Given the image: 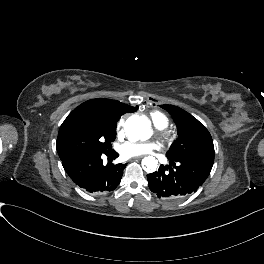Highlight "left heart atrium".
<instances>
[{
    "label": "left heart atrium",
    "instance_id": "39dd6f15",
    "mask_svg": "<svg viewBox=\"0 0 264 264\" xmlns=\"http://www.w3.org/2000/svg\"><path fill=\"white\" fill-rule=\"evenodd\" d=\"M123 155H133L135 154L134 151H127V149H125L123 152H122Z\"/></svg>",
    "mask_w": 264,
    "mask_h": 264
}]
</instances>
